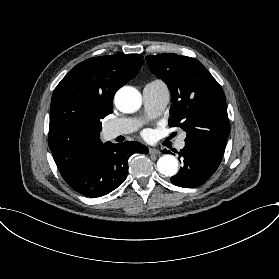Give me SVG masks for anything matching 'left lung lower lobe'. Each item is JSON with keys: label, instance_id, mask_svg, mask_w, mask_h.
Wrapping results in <instances>:
<instances>
[{"label": "left lung lower lobe", "instance_id": "0a47b994", "mask_svg": "<svg viewBox=\"0 0 279 279\" xmlns=\"http://www.w3.org/2000/svg\"><path fill=\"white\" fill-rule=\"evenodd\" d=\"M164 153L168 151L164 150ZM224 148L207 142H186L180 150L183 167L171 177V182L180 187L194 188L206 182L222 161Z\"/></svg>", "mask_w": 279, "mask_h": 279}]
</instances>
